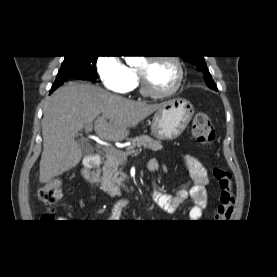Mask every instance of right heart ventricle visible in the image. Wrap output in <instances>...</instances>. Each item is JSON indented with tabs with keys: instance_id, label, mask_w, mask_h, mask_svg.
Listing matches in <instances>:
<instances>
[{
	"instance_id": "e07e8e85",
	"label": "right heart ventricle",
	"mask_w": 277,
	"mask_h": 277,
	"mask_svg": "<svg viewBox=\"0 0 277 277\" xmlns=\"http://www.w3.org/2000/svg\"><path fill=\"white\" fill-rule=\"evenodd\" d=\"M131 71H132L133 75L135 76V84H136V71H135V69H131Z\"/></svg>"
}]
</instances>
